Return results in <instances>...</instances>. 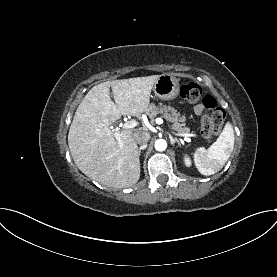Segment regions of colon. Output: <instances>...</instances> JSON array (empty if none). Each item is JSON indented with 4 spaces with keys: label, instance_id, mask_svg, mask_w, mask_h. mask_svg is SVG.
Masks as SVG:
<instances>
[{
    "label": "colon",
    "instance_id": "obj_1",
    "mask_svg": "<svg viewBox=\"0 0 277 277\" xmlns=\"http://www.w3.org/2000/svg\"><path fill=\"white\" fill-rule=\"evenodd\" d=\"M201 87L194 82H189L181 86L180 94L183 99L190 103L202 101L206 109L201 119V136L206 141H211L217 136L225 120V112L217 106L216 100L211 95L202 96Z\"/></svg>",
    "mask_w": 277,
    "mask_h": 277
}]
</instances>
